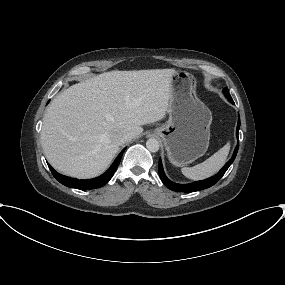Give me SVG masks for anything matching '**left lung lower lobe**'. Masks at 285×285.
Returning a JSON list of instances; mask_svg holds the SVG:
<instances>
[{"label":"left lung lower lobe","mask_w":285,"mask_h":285,"mask_svg":"<svg viewBox=\"0 0 285 285\" xmlns=\"http://www.w3.org/2000/svg\"><path fill=\"white\" fill-rule=\"evenodd\" d=\"M228 100L231 103H234L232 98H228ZM240 128V118L238 119V124H237V130H236V135L238 138V131ZM239 148V144H237L235 150H234V154L232 156V158L223 166V168L214 176L205 179V180H201V181H196L193 183H189V184H177L174 183L172 181H170L163 170L162 167V163L161 160H159V164H158V171H159V176L162 180V182L171 190L173 191H178V192H195V191H199V190H203L206 188L211 187L212 185H214L216 182H218L220 180V178L224 175V173L227 171V169L229 168V166L232 164V162L234 161L236 155H237V151Z\"/></svg>","instance_id":"left-lung-lower-lobe-1"}]
</instances>
